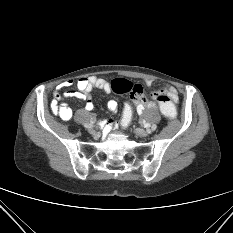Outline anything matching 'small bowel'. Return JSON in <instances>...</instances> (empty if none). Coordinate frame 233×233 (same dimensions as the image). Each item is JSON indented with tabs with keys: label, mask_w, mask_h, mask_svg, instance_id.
Segmentation results:
<instances>
[{
	"label": "small bowel",
	"mask_w": 233,
	"mask_h": 233,
	"mask_svg": "<svg viewBox=\"0 0 233 233\" xmlns=\"http://www.w3.org/2000/svg\"><path fill=\"white\" fill-rule=\"evenodd\" d=\"M148 85L152 84V81L146 82ZM74 82L72 80L65 81L59 84L56 90L53 93V99L51 101V109L53 113L59 116L63 120H70L74 112L73 110L65 103L61 101L65 98H79L85 101V109L87 111L94 110V104L91 100L90 93L94 89H100L106 93L111 92V85L108 81L104 79L97 78L95 76L83 77L77 81V88H70ZM63 88H70L63 94L60 93V90ZM164 92L170 99L172 105L178 101V94L175 87L167 84L164 87ZM154 104L148 101L136 102V110L138 114H142L146 108L152 107ZM107 108L111 113H116L118 109V104L115 100H109L107 103Z\"/></svg>",
	"instance_id": "small-bowel-1"
}]
</instances>
